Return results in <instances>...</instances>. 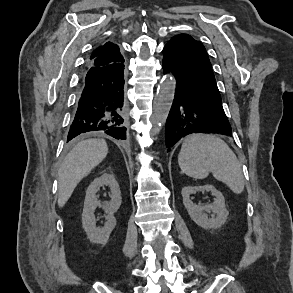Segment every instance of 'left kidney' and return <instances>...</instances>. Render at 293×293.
Wrapping results in <instances>:
<instances>
[{
  "label": "left kidney",
  "mask_w": 293,
  "mask_h": 293,
  "mask_svg": "<svg viewBox=\"0 0 293 293\" xmlns=\"http://www.w3.org/2000/svg\"><path fill=\"white\" fill-rule=\"evenodd\" d=\"M199 191H208L215 196L214 202L208 205H196L191 200V195ZM183 204L190 218L204 229L220 228L227 220L229 212L225 206L224 196L214 186L206 184L203 186H185L182 188ZM213 213L208 218L206 213Z\"/></svg>",
  "instance_id": "1"
}]
</instances>
